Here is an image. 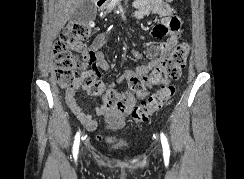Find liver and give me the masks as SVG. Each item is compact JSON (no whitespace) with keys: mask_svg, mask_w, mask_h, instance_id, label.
Masks as SVG:
<instances>
[{"mask_svg":"<svg viewBox=\"0 0 244 179\" xmlns=\"http://www.w3.org/2000/svg\"><path fill=\"white\" fill-rule=\"evenodd\" d=\"M81 2H83V0H57L56 18H54L51 30L52 40H55L58 32L65 26L67 20H70L72 14H74ZM92 2H96V0H92Z\"/></svg>","mask_w":244,"mask_h":179,"instance_id":"6515ba94","label":"liver"}]
</instances>
